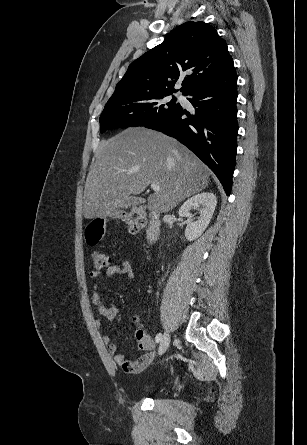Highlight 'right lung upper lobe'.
Listing matches in <instances>:
<instances>
[{"label": "right lung upper lobe", "mask_w": 307, "mask_h": 445, "mask_svg": "<svg viewBox=\"0 0 307 445\" xmlns=\"http://www.w3.org/2000/svg\"><path fill=\"white\" fill-rule=\"evenodd\" d=\"M233 63L226 42L214 27L201 21L186 22L164 42L130 64L117 84L113 97L172 94L174 85L186 75L180 91L217 76Z\"/></svg>", "instance_id": "obj_1"}]
</instances>
